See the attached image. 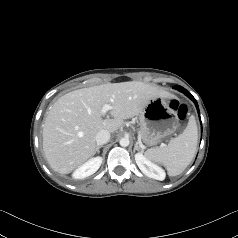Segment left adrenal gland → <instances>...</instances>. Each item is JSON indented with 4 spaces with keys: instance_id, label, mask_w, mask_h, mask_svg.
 <instances>
[{
    "instance_id": "1",
    "label": "left adrenal gland",
    "mask_w": 238,
    "mask_h": 238,
    "mask_svg": "<svg viewBox=\"0 0 238 238\" xmlns=\"http://www.w3.org/2000/svg\"><path fill=\"white\" fill-rule=\"evenodd\" d=\"M140 151V147H139V145H138V142H136V144H135V146H134V152L135 151Z\"/></svg>"
}]
</instances>
